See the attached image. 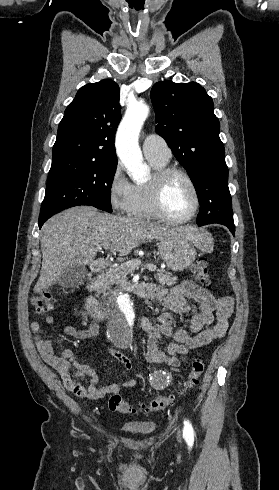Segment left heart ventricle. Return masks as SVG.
Instances as JSON below:
<instances>
[{
	"instance_id": "b2bd125f",
	"label": "left heart ventricle",
	"mask_w": 279,
	"mask_h": 490,
	"mask_svg": "<svg viewBox=\"0 0 279 490\" xmlns=\"http://www.w3.org/2000/svg\"><path fill=\"white\" fill-rule=\"evenodd\" d=\"M194 192L191 185L181 176H173L166 187L164 206L174 218H185L194 206Z\"/></svg>"
}]
</instances>
